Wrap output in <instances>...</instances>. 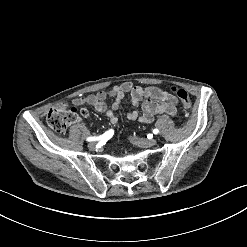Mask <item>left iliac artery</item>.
I'll list each match as a JSON object with an SVG mask.
<instances>
[{
	"label": "left iliac artery",
	"instance_id": "44dca946",
	"mask_svg": "<svg viewBox=\"0 0 247 247\" xmlns=\"http://www.w3.org/2000/svg\"><path fill=\"white\" fill-rule=\"evenodd\" d=\"M153 133H154V134H158V133H159V130H158V129H154V130H153Z\"/></svg>",
	"mask_w": 247,
	"mask_h": 247
}]
</instances>
